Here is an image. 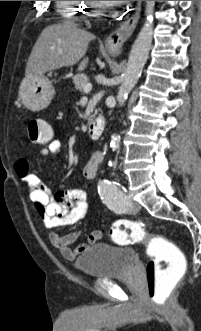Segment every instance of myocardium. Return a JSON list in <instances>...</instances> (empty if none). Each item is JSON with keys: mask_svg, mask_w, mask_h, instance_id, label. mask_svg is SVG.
Instances as JSON below:
<instances>
[{"mask_svg": "<svg viewBox=\"0 0 201 331\" xmlns=\"http://www.w3.org/2000/svg\"><path fill=\"white\" fill-rule=\"evenodd\" d=\"M91 5L88 16L92 18H99L106 13V7L101 1H89Z\"/></svg>", "mask_w": 201, "mask_h": 331, "instance_id": "1", "label": "myocardium"}]
</instances>
